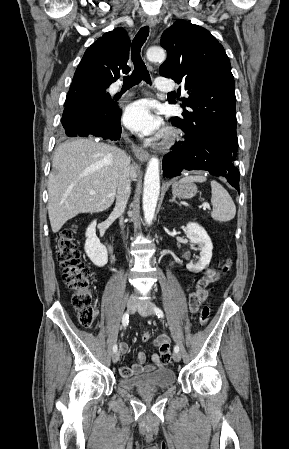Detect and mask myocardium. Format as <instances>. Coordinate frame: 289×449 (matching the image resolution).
<instances>
[{"label":"myocardium","mask_w":289,"mask_h":449,"mask_svg":"<svg viewBox=\"0 0 289 449\" xmlns=\"http://www.w3.org/2000/svg\"><path fill=\"white\" fill-rule=\"evenodd\" d=\"M175 138L176 136L173 132H168L165 136L163 146L166 148L171 147L174 144Z\"/></svg>","instance_id":"myocardium-1"}]
</instances>
